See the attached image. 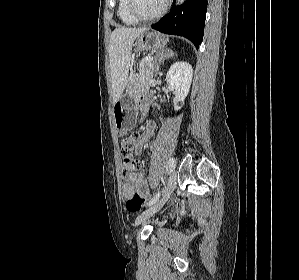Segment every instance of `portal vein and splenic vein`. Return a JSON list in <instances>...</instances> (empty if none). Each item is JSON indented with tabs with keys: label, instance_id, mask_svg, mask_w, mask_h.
Segmentation results:
<instances>
[{
	"label": "portal vein and splenic vein",
	"instance_id": "18ae733b",
	"mask_svg": "<svg viewBox=\"0 0 299 280\" xmlns=\"http://www.w3.org/2000/svg\"><path fill=\"white\" fill-rule=\"evenodd\" d=\"M153 61V57H146L145 59L142 60L141 63H144V62H152Z\"/></svg>",
	"mask_w": 299,
	"mask_h": 280
}]
</instances>
